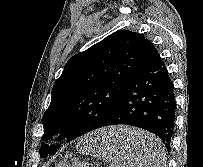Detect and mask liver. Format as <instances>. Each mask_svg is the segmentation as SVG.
<instances>
[{"label": "liver", "instance_id": "6515ba94", "mask_svg": "<svg viewBox=\"0 0 203 167\" xmlns=\"http://www.w3.org/2000/svg\"><path fill=\"white\" fill-rule=\"evenodd\" d=\"M102 131L104 132L103 135L109 136V138L118 139L129 144L133 149L127 148V150L135 155H138L136 149H141L146 140L151 137L147 132L132 127H112L109 131L105 132V129Z\"/></svg>", "mask_w": 203, "mask_h": 167}]
</instances>
